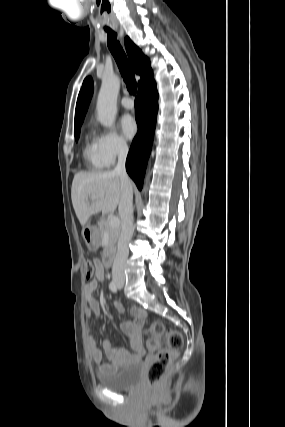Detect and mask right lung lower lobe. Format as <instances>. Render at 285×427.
Returning a JSON list of instances; mask_svg holds the SVG:
<instances>
[{"mask_svg":"<svg viewBox=\"0 0 285 427\" xmlns=\"http://www.w3.org/2000/svg\"><path fill=\"white\" fill-rule=\"evenodd\" d=\"M158 92L153 76L138 87L135 100V115L138 133L135 136L126 160V170L138 189L142 188L146 164L150 155L156 117Z\"/></svg>","mask_w":285,"mask_h":427,"instance_id":"98d812e1","label":"right lung lower lobe"}]
</instances>
